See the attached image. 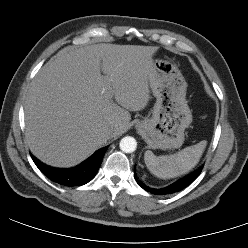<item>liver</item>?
Instances as JSON below:
<instances>
[{
    "mask_svg": "<svg viewBox=\"0 0 248 248\" xmlns=\"http://www.w3.org/2000/svg\"><path fill=\"white\" fill-rule=\"evenodd\" d=\"M157 50L105 43L60 50L27 93L25 135L32 153L48 165L71 167L126 132L129 111L143 110L150 100ZM110 127L114 133L107 136Z\"/></svg>",
    "mask_w": 248,
    "mask_h": 248,
    "instance_id": "6515ba94",
    "label": "liver"
}]
</instances>
